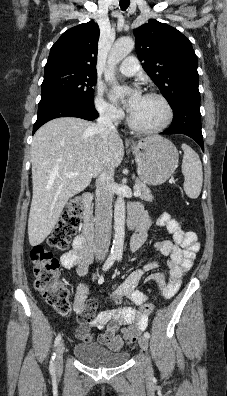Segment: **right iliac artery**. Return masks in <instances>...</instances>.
I'll return each instance as SVG.
<instances>
[{
    "label": "right iliac artery",
    "mask_w": 227,
    "mask_h": 396,
    "mask_svg": "<svg viewBox=\"0 0 227 396\" xmlns=\"http://www.w3.org/2000/svg\"><path fill=\"white\" fill-rule=\"evenodd\" d=\"M116 256L117 255L113 254V253L109 255V257L107 258L106 262L103 265V270L104 271L108 270L113 265V263L116 260ZM60 341H61V334H58V336L55 338V341H54V347H56L59 344ZM54 359H55V353H53L52 358H51V362H50L49 369H50L51 373L55 372Z\"/></svg>",
    "instance_id": "right-iliac-artery-1"
}]
</instances>
